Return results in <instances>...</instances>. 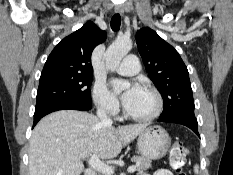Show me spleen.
I'll return each mask as SVG.
<instances>
[{
    "instance_id": "spleen-1",
    "label": "spleen",
    "mask_w": 233,
    "mask_h": 175,
    "mask_svg": "<svg viewBox=\"0 0 233 175\" xmlns=\"http://www.w3.org/2000/svg\"><path fill=\"white\" fill-rule=\"evenodd\" d=\"M194 172H195L196 174H198V172H199V166H198V165H195V166H194Z\"/></svg>"
}]
</instances>
